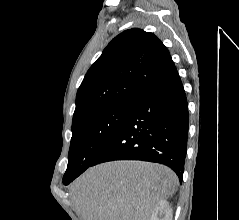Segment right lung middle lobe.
<instances>
[{
  "instance_id": "obj_1",
  "label": "right lung middle lobe",
  "mask_w": 239,
  "mask_h": 220,
  "mask_svg": "<svg viewBox=\"0 0 239 220\" xmlns=\"http://www.w3.org/2000/svg\"><path fill=\"white\" fill-rule=\"evenodd\" d=\"M130 104H119L89 113L72 123L68 166L63 183L69 184L88 167L125 119Z\"/></svg>"
}]
</instances>
